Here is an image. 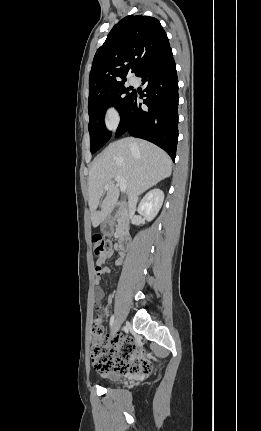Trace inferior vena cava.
<instances>
[{
  "label": "inferior vena cava",
  "instance_id": "obj_1",
  "mask_svg": "<svg viewBox=\"0 0 261 431\" xmlns=\"http://www.w3.org/2000/svg\"><path fill=\"white\" fill-rule=\"evenodd\" d=\"M138 202V194H133L129 197L128 200V212H129V217L131 218L135 211H136V205Z\"/></svg>",
  "mask_w": 261,
  "mask_h": 431
}]
</instances>
